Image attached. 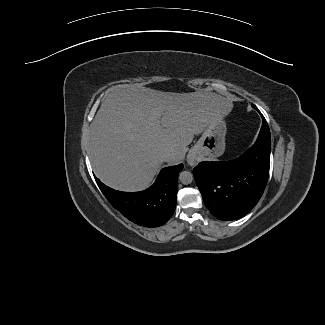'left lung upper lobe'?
I'll return each instance as SVG.
<instances>
[{
	"label": "left lung upper lobe",
	"instance_id": "left-lung-upper-lobe-1",
	"mask_svg": "<svg viewBox=\"0 0 325 325\" xmlns=\"http://www.w3.org/2000/svg\"><path fill=\"white\" fill-rule=\"evenodd\" d=\"M255 109H257L254 105H252ZM258 110V109H257Z\"/></svg>",
	"mask_w": 325,
	"mask_h": 325
}]
</instances>
